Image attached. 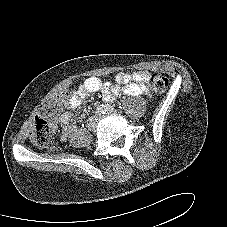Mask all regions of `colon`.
<instances>
[{"label":"colon","mask_w":227,"mask_h":227,"mask_svg":"<svg viewBox=\"0 0 227 227\" xmlns=\"http://www.w3.org/2000/svg\"><path fill=\"white\" fill-rule=\"evenodd\" d=\"M152 88L157 93H164L169 85V80L161 73H153L150 77ZM61 96L50 97L40 105L41 114L34 119L33 129L30 133L32 142L41 148H52L53 127L48 117L57 113L62 105Z\"/></svg>","instance_id":"colon-1"}]
</instances>
